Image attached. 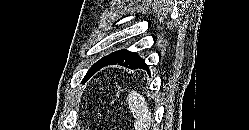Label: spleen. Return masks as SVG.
Wrapping results in <instances>:
<instances>
[{
	"label": "spleen",
	"mask_w": 249,
	"mask_h": 130,
	"mask_svg": "<svg viewBox=\"0 0 249 130\" xmlns=\"http://www.w3.org/2000/svg\"><path fill=\"white\" fill-rule=\"evenodd\" d=\"M129 108L135 118V130H148L153 120L148 104L143 95L136 91H132L127 98Z\"/></svg>",
	"instance_id": "1"
}]
</instances>
